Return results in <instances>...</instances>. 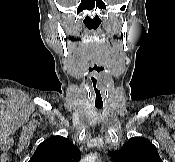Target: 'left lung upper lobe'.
Returning a JSON list of instances; mask_svg holds the SVG:
<instances>
[{
    "label": "left lung upper lobe",
    "instance_id": "1",
    "mask_svg": "<svg viewBox=\"0 0 175 162\" xmlns=\"http://www.w3.org/2000/svg\"><path fill=\"white\" fill-rule=\"evenodd\" d=\"M109 154L114 162H162L156 147L142 137L130 138L121 149Z\"/></svg>",
    "mask_w": 175,
    "mask_h": 162
}]
</instances>
